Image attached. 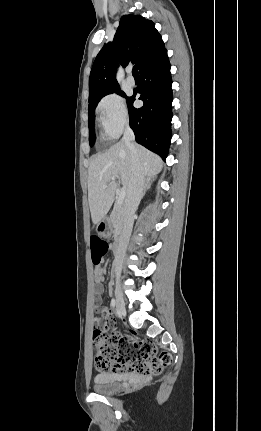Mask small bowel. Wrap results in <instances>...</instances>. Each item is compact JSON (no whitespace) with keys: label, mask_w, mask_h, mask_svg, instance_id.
<instances>
[{"label":"small bowel","mask_w":261,"mask_h":431,"mask_svg":"<svg viewBox=\"0 0 261 431\" xmlns=\"http://www.w3.org/2000/svg\"><path fill=\"white\" fill-rule=\"evenodd\" d=\"M105 266H97L94 270V281H95V298L94 303L97 304L98 312L97 317L104 319L103 328L108 329L110 327L111 318L114 317V312L110 311L108 308L102 307L100 304L102 302L104 286L103 281L106 275Z\"/></svg>","instance_id":"c3829d8e"}]
</instances>
